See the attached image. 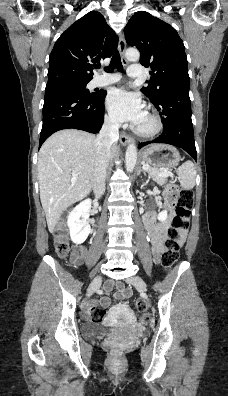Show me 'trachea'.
<instances>
[{
    "mask_svg": "<svg viewBox=\"0 0 228 396\" xmlns=\"http://www.w3.org/2000/svg\"><path fill=\"white\" fill-rule=\"evenodd\" d=\"M115 68L118 71H122L123 70V66H122L120 55H119L118 51L114 52V55L112 56V59H111V62H110V65L108 67H105V71L106 72H112Z\"/></svg>",
    "mask_w": 228,
    "mask_h": 396,
    "instance_id": "obj_1",
    "label": "trachea"
}]
</instances>
